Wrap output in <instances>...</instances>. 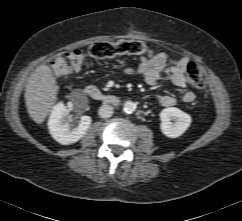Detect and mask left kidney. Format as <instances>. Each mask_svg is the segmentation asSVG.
<instances>
[{
    "label": "left kidney",
    "instance_id": "5707ae66",
    "mask_svg": "<svg viewBox=\"0 0 242 221\" xmlns=\"http://www.w3.org/2000/svg\"><path fill=\"white\" fill-rule=\"evenodd\" d=\"M160 129L169 138L181 136L191 124V116L176 107L165 108L160 112Z\"/></svg>",
    "mask_w": 242,
    "mask_h": 221
}]
</instances>
